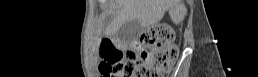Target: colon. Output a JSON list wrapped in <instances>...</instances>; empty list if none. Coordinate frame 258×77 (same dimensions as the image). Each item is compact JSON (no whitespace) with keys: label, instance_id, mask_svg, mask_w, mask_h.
Returning <instances> with one entry per match:
<instances>
[{"label":"colon","instance_id":"5ec220e1","mask_svg":"<svg viewBox=\"0 0 258 77\" xmlns=\"http://www.w3.org/2000/svg\"><path fill=\"white\" fill-rule=\"evenodd\" d=\"M104 61L100 72L112 77H163L178 56L174 34L165 24L146 31L140 41L128 48L102 45Z\"/></svg>","mask_w":258,"mask_h":77}]
</instances>
